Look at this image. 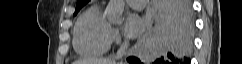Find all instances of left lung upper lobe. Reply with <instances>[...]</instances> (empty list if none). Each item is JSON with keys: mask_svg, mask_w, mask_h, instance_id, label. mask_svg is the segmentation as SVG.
Instances as JSON below:
<instances>
[{"mask_svg": "<svg viewBox=\"0 0 242 64\" xmlns=\"http://www.w3.org/2000/svg\"><path fill=\"white\" fill-rule=\"evenodd\" d=\"M89 2V0H78L77 5H76V10L74 15H76L78 13V11Z\"/></svg>", "mask_w": 242, "mask_h": 64, "instance_id": "5c2ea615", "label": "left lung upper lobe"}]
</instances>
